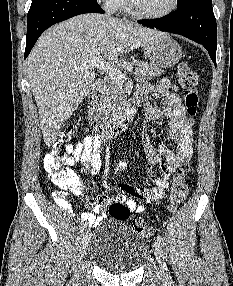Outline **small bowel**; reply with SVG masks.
<instances>
[{"label":"small bowel","mask_w":233,"mask_h":286,"mask_svg":"<svg viewBox=\"0 0 233 286\" xmlns=\"http://www.w3.org/2000/svg\"><path fill=\"white\" fill-rule=\"evenodd\" d=\"M136 95L143 101H147L148 96L163 99L161 106L147 102L145 114L151 120L165 118L169 125L167 137L158 147L152 146L145 139L143 140L147 159L145 173L156 187L142 190L127 182L118 183L120 194L116 200L125 203L132 211L141 210L137 203L138 199L157 200L163 197L169 187L171 176L177 171L180 164L192 155V130L187 122L186 110L178 87L169 79H163L157 85L141 83L137 87ZM101 143L99 135H88L82 142L76 144L67 165H73L80 161L92 173L98 172L102 166ZM172 145L174 148L171 147ZM125 168L126 164L120 162L117 166V172H121ZM72 191L81 194L82 189L79 187ZM66 195L65 191L59 189L53 193V199L59 207L71 213V205L67 201ZM83 199L92 208V211L83 213L82 220L89 225H97L104 218L102 210L107 197L93 198L89 193H84Z\"/></svg>","instance_id":"small-bowel-1"}]
</instances>
